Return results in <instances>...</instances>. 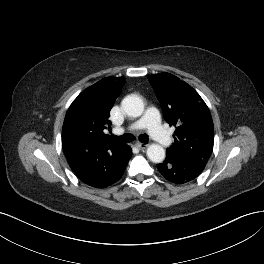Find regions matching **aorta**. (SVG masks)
Wrapping results in <instances>:
<instances>
[{
  "instance_id": "1",
  "label": "aorta",
  "mask_w": 264,
  "mask_h": 264,
  "mask_svg": "<svg viewBox=\"0 0 264 264\" xmlns=\"http://www.w3.org/2000/svg\"><path fill=\"white\" fill-rule=\"evenodd\" d=\"M125 113L130 117H139L144 111V103L138 96L132 94L126 96L121 103ZM165 150L159 144H151L147 148V156L154 163H161L165 159Z\"/></svg>"
}]
</instances>
